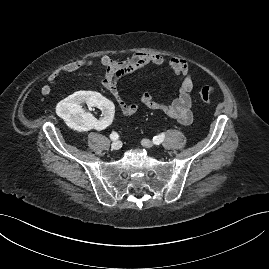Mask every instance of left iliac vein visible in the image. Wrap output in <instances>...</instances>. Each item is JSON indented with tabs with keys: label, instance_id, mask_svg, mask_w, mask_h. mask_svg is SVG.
<instances>
[{
	"label": "left iliac vein",
	"instance_id": "obj_1",
	"mask_svg": "<svg viewBox=\"0 0 269 269\" xmlns=\"http://www.w3.org/2000/svg\"><path fill=\"white\" fill-rule=\"evenodd\" d=\"M141 143H142V145H143L144 147H146V148H151V147L153 146L152 142H150V141L147 140V139H143Z\"/></svg>",
	"mask_w": 269,
	"mask_h": 269
}]
</instances>
